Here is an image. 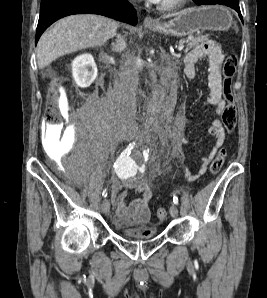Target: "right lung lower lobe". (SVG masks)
Returning <instances> with one entry per match:
<instances>
[{
    "label": "right lung lower lobe",
    "instance_id": "obj_1",
    "mask_svg": "<svg viewBox=\"0 0 267 298\" xmlns=\"http://www.w3.org/2000/svg\"><path fill=\"white\" fill-rule=\"evenodd\" d=\"M82 13L99 14L131 25L137 24L136 11L128 0H42L35 42L56 20Z\"/></svg>",
    "mask_w": 267,
    "mask_h": 298
}]
</instances>
